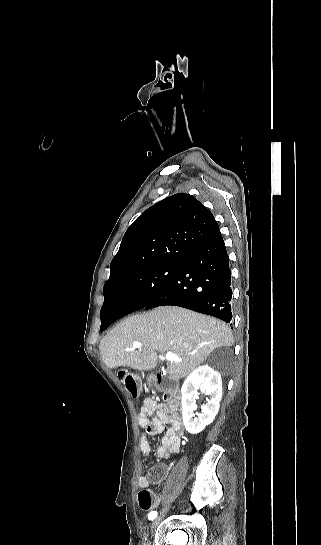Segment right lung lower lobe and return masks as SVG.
<instances>
[{"label": "right lung lower lobe", "instance_id": "obj_1", "mask_svg": "<svg viewBox=\"0 0 321 545\" xmlns=\"http://www.w3.org/2000/svg\"><path fill=\"white\" fill-rule=\"evenodd\" d=\"M231 298L229 258L219 230L181 265L173 279L142 308L175 305L229 323L232 320ZM137 310L139 307L126 302L109 301L100 312L106 321L103 330Z\"/></svg>", "mask_w": 321, "mask_h": 545}]
</instances>
